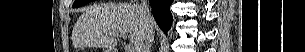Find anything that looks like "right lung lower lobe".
<instances>
[{"label": "right lung lower lobe", "mask_w": 305, "mask_h": 52, "mask_svg": "<svg viewBox=\"0 0 305 52\" xmlns=\"http://www.w3.org/2000/svg\"><path fill=\"white\" fill-rule=\"evenodd\" d=\"M173 0H150L154 19L158 26L164 33L170 29L172 22V15L170 12V5Z\"/></svg>", "instance_id": "right-lung-lower-lobe-1"}]
</instances>
